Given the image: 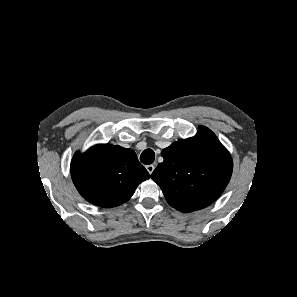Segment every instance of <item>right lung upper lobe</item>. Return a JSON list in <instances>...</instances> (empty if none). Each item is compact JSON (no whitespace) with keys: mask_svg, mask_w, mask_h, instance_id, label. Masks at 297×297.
Here are the masks:
<instances>
[{"mask_svg":"<svg viewBox=\"0 0 297 297\" xmlns=\"http://www.w3.org/2000/svg\"><path fill=\"white\" fill-rule=\"evenodd\" d=\"M71 177L88 202L111 208L129 200L137 186L150 175L133 150L98 144L83 154L74 155Z\"/></svg>","mask_w":297,"mask_h":297,"instance_id":"cb5924a9","label":"right lung upper lobe"}]
</instances>
